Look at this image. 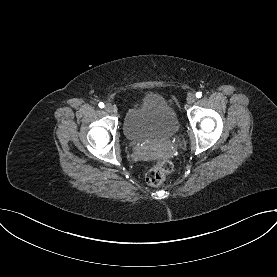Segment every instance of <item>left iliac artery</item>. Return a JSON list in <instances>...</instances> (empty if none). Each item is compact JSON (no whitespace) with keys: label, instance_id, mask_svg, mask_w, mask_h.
I'll return each instance as SVG.
<instances>
[{"label":"left iliac artery","instance_id":"1","mask_svg":"<svg viewBox=\"0 0 277 277\" xmlns=\"http://www.w3.org/2000/svg\"><path fill=\"white\" fill-rule=\"evenodd\" d=\"M201 96H202V93H201V92H197V93H196V97H197V98H200Z\"/></svg>","mask_w":277,"mask_h":277}]
</instances>
